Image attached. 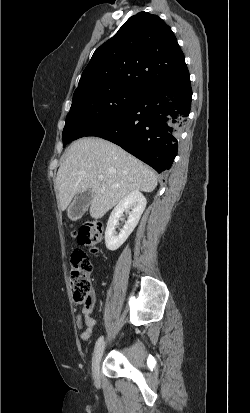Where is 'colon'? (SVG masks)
<instances>
[{
    "label": "colon",
    "instance_id": "colon-1",
    "mask_svg": "<svg viewBox=\"0 0 250 413\" xmlns=\"http://www.w3.org/2000/svg\"><path fill=\"white\" fill-rule=\"evenodd\" d=\"M102 231L101 223L90 221L73 231L72 236L80 245L96 252L102 240ZM70 288L75 303L84 307L93 304V269L87 255L82 250H75L71 255Z\"/></svg>",
    "mask_w": 250,
    "mask_h": 413
}]
</instances>
